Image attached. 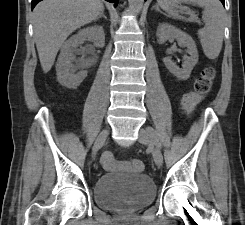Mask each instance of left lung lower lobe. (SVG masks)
Returning a JSON list of instances; mask_svg holds the SVG:
<instances>
[{
    "instance_id": "obj_1",
    "label": "left lung lower lobe",
    "mask_w": 245,
    "mask_h": 225,
    "mask_svg": "<svg viewBox=\"0 0 245 225\" xmlns=\"http://www.w3.org/2000/svg\"><path fill=\"white\" fill-rule=\"evenodd\" d=\"M145 1H146V0H145ZM220 1L222 2V4H223V5H225V2H224V0H220Z\"/></svg>"
}]
</instances>
